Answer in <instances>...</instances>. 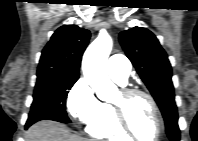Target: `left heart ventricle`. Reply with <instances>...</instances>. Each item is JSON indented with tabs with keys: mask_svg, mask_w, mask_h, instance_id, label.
<instances>
[{
	"mask_svg": "<svg viewBox=\"0 0 198 141\" xmlns=\"http://www.w3.org/2000/svg\"><path fill=\"white\" fill-rule=\"evenodd\" d=\"M125 107L128 122L138 138L150 141L157 133L154 112L148 100L142 96L124 98L119 92L112 101Z\"/></svg>",
	"mask_w": 198,
	"mask_h": 141,
	"instance_id": "obj_1",
	"label": "left heart ventricle"
}]
</instances>
